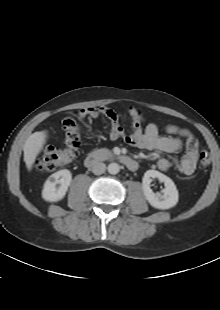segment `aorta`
I'll return each mask as SVG.
<instances>
[{
	"label": "aorta",
	"mask_w": 220,
	"mask_h": 310,
	"mask_svg": "<svg viewBox=\"0 0 220 310\" xmlns=\"http://www.w3.org/2000/svg\"><path fill=\"white\" fill-rule=\"evenodd\" d=\"M107 170L110 174L115 175L119 172L120 166L117 163H110L107 167Z\"/></svg>",
	"instance_id": "762f6f07"
}]
</instances>
